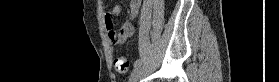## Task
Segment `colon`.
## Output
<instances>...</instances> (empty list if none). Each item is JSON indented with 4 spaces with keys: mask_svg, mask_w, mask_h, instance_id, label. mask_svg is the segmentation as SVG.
Wrapping results in <instances>:
<instances>
[{
    "mask_svg": "<svg viewBox=\"0 0 279 82\" xmlns=\"http://www.w3.org/2000/svg\"><path fill=\"white\" fill-rule=\"evenodd\" d=\"M114 67L120 74H127L129 72L130 64L125 56H118L114 60Z\"/></svg>",
    "mask_w": 279,
    "mask_h": 82,
    "instance_id": "1",
    "label": "colon"
}]
</instances>
